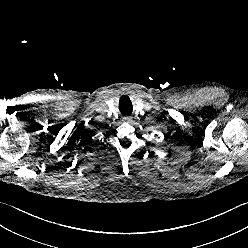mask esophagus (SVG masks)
<instances>
[{
    "instance_id": "obj_1",
    "label": "esophagus",
    "mask_w": 248,
    "mask_h": 248,
    "mask_svg": "<svg viewBox=\"0 0 248 248\" xmlns=\"http://www.w3.org/2000/svg\"><path fill=\"white\" fill-rule=\"evenodd\" d=\"M123 119H124V121H126V122H130V121H131V117H128V116H127V117H124Z\"/></svg>"
}]
</instances>
